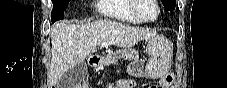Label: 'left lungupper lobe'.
I'll return each mask as SVG.
<instances>
[{"mask_svg": "<svg viewBox=\"0 0 227 88\" xmlns=\"http://www.w3.org/2000/svg\"><path fill=\"white\" fill-rule=\"evenodd\" d=\"M165 9L172 11L175 9L176 0H161Z\"/></svg>", "mask_w": 227, "mask_h": 88, "instance_id": "1", "label": "left lung upper lobe"}]
</instances>
